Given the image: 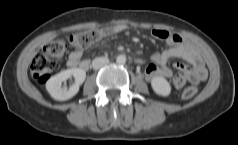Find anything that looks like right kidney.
Returning a JSON list of instances; mask_svg holds the SVG:
<instances>
[{"label":"right kidney","instance_id":"ca27d5eb","mask_svg":"<svg viewBox=\"0 0 238 145\" xmlns=\"http://www.w3.org/2000/svg\"><path fill=\"white\" fill-rule=\"evenodd\" d=\"M74 77L75 82L73 85L69 87L62 86V82L67 79ZM86 72L81 68H71L67 70H63L58 74L52 76L46 82V89L51 95V97L58 101H65L73 96H75L78 91L80 85L85 81Z\"/></svg>","mask_w":238,"mask_h":145}]
</instances>
